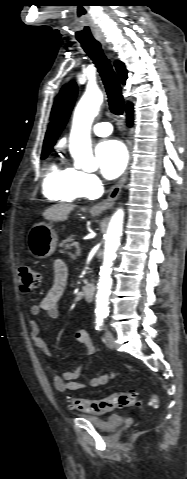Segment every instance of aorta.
<instances>
[{
	"mask_svg": "<svg viewBox=\"0 0 187 479\" xmlns=\"http://www.w3.org/2000/svg\"><path fill=\"white\" fill-rule=\"evenodd\" d=\"M102 102V92L98 88L89 87L76 106L73 116L69 150L74 158L75 166L86 172H94L98 168V162L92 155L90 130ZM123 222L124 212L122 209H118L110 220L106 234L103 266L100 269L97 287L96 313L98 315L109 313L108 305L112 286L111 267L120 244Z\"/></svg>",
	"mask_w": 187,
	"mask_h": 479,
	"instance_id": "1",
	"label": "aorta"
}]
</instances>
